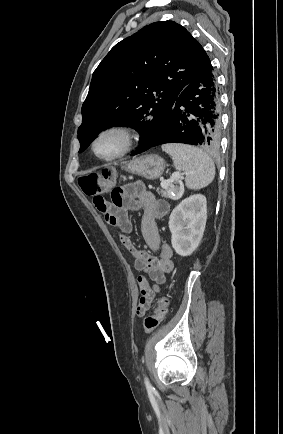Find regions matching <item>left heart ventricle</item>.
Masks as SVG:
<instances>
[{"mask_svg": "<svg viewBox=\"0 0 283 434\" xmlns=\"http://www.w3.org/2000/svg\"><path fill=\"white\" fill-rule=\"evenodd\" d=\"M120 142L112 135L106 136L97 144V151L102 155H112L119 150Z\"/></svg>", "mask_w": 283, "mask_h": 434, "instance_id": "1", "label": "left heart ventricle"}]
</instances>
